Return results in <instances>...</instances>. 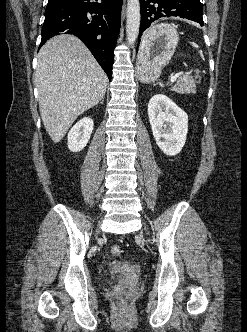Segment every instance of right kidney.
I'll return each instance as SVG.
<instances>
[{
	"label": "right kidney",
	"instance_id": "obj_1",
	"mask_svg": "<svg viewBox=\"0 0 247 332\" xmlns=\"http://www.w3.org/2000/svg\"><path fill=\"white\" fill-rule=\"evenodd\" d=\"M93 120L85 117L78 121L68 133V148L72 152H79L87 145L92 131Z\"/></svg>",
	"mask_w": 247,
	"mask_h": 332
}]
</instances>
